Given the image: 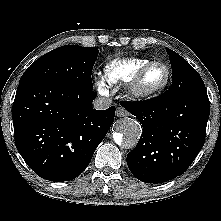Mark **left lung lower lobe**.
<instances>
[{
    "label": "left lung lower lobe",
    "mask_w": 221,
    "mask_h": 221,
    "mask_svg": "<svg viewBox=\"0 0 221 221\" xmlns=\"http://www.w3.org/2000/svg\"><path fill=\"white\" fill-rule=\"evenodd\" d=\"M121 105L143 126L137 146L127 155L132 174L145 183H162L184 173L204 145L210 111L207 92Z\"/></svg>",
    "instance_id": "1"
}]
</instances>
